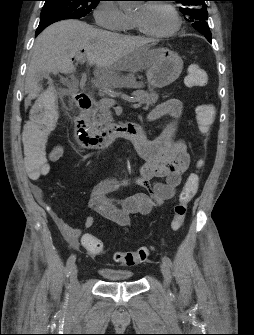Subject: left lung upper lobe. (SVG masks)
Here are the masks:
<instances>
[{
	"mask_svg": "<svg viewBox=\"0 0 254 335\" xmlns=\"http://www.w3.org/2000/svg\"><path fill=\"white\" fill-rule=\"evenodd\" d=\"M182 6L180 12L185 15L187 21L193 22V27L202 33L207 40H211V32L206 22L208 18L206 0H174Z\"/></svg>",
	"mask_w": 254,
	"mask_h": 335,
	"instance_id": "1",
	"label": "left lung upper lobe"
}]
</instances>
